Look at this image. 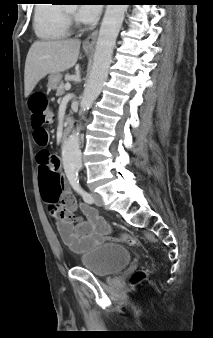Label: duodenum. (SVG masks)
Masks as SVG:
<instances>
[{"mask_svg": "<svg viewBox=\"0 0 213 338\" xmlns=\"http://www.w3.org/2000/svg\"><path fill=\"white\" fill-rule=\"evenodd\" d=\"M72 129H73V123L72 122H68L67 125L64 128V133H63L64 139L68 138V136L71 133Z\"/></svg>", "mask_w": 213, "mask_h": 338, "instance_id": "410a0bca", "label": "duodenum"}]
</instances>
